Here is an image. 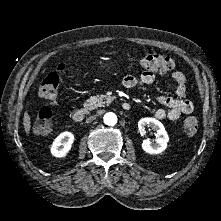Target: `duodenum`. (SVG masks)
Here are the masks:
<instances>
[{"instance_id":"obj_1","label":"duodenum","mask_w":221,"mask_h":221,"mask_svg":"<svg viewBox=\"0 0 221 221\" xmlns=\"http://www.w3.org/2000/svg\"><path fill=\"white\" fill-rule=\"evenodd\" d=\"M122 108L124 110H129L131 108V105L128 102H123ZM86 114H87V110L85 108L76 109L72 113V119L75 122H82L85 119Z\"/></svg>"}]
</instances>
